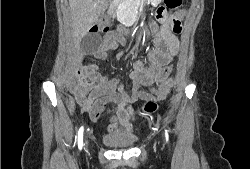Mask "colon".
<instances>
[{"label": "colon", "instance_id": "colon-1", "mask_svg": "<svg viewBox=\"0 0 250 169\" xmlns=\"http://www.w3.org/2000/svg\"><path fill=\"white\" fill-rule=\"evenodd\" d=\"M167 9H176L182 5V0H163ZM109 27L107 25H94L90 29L91 40L88 42V45L94 49L97 46L96 38L100 35H104L108 31ZM180 30V23L176 22L174 25V31L178 32ZM77 76V73L75 74ZM79 81H83V77L79 75ZM159 95H164V93H159ZM152 103H146V108H157V99L154 98ZM145 114H152V109H145Z\"/></svg>", "mask_w": 250, "mask_h": 169}]
</instances>
